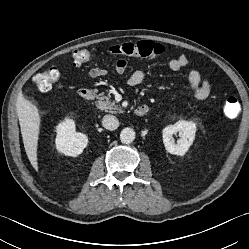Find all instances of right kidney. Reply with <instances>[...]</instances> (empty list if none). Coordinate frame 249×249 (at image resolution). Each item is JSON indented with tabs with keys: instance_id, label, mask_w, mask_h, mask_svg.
<instances>
[{
	"instance_id": "obj_1",
	"label": "right kidney",
	"mask_w": 249,
	"mask_h": 249,
	"mask_svg": "<svg viewBox=\"0 0 249 249\" xmlns=\"http://www.w3.org/2000/svg\"><path fill=\"white\" fill-rule=\"evenodd\" d=\"M56 132V148L65 155L77 156L83 152L88 144L87 136L75 131L73 120L66 119L61 122L56 128Z\"/></svg>"
}]
</instances>
